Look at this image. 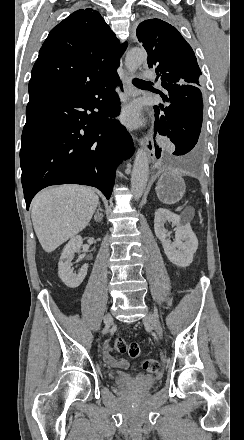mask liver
<instances>
[{
  "mask_svg": "<svg viewBox=\"0 0 244 440\" xmlns=\"http://www.w3.org/2000/svg\"><path fill=\"white\" fill-rule=\"evenodd\" d=\"M99 198L85 186H51L35 196L31 220L45 252H54L63 242L88 226Z\"/></svg>",
  "mask_w": 244,
  "mask_h": 440,
  "instance_id": "1",
  "label": "liver"
}]
</instances>
